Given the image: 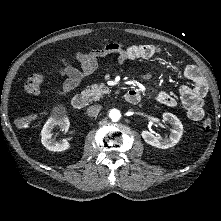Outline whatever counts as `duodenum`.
I'll list each match as a JSON object with an SVG mask.
<instances>
[{
	"label": "duodenum",
	"mask_w": 221,
	"mask_h": 221,
	"mask_svg": "<svg viewBox=\"0 0 221 221\" xmlns=\"http://www.w3.org/2000/svg\"><path fill=\"white\" fill-rule=\"evenodd\" d=\"M141 97L139 93L135 90H129L125 94V101L130 104H137L140 101ZM88 104L87 97L82 94H77L72 98V106L77 110H82Z\"/></svg>",
	"instance_id": "1"
}]
</instances>
